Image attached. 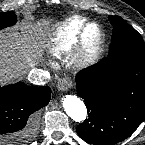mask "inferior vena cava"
<instances>
[{
  "label": "inferior vena cava",
  "instance_id": "1",
  "mask_svg": "<svg viewBox=\"0 0 145 145\" xmlns=\"http://www.w3.org/2000/svg\"><path fill=\"white\" fill-rule=\"evenodd\" d=\"M48 73L41 71V70H33L28 75V80L36 85H43L48 80Z\"/></svg>",
  "mask_w": 145,
  "mask_h": 145
}]
</instances>
